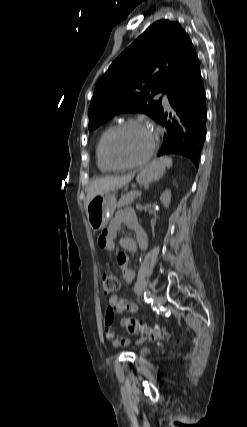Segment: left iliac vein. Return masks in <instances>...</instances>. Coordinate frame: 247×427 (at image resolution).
Listing matches in <instances>:
<instances>
[{"label": "left iliac vein", "instance_id": "4c4485c4", "mask_svg": "<svg viewBox=\"0 0 247 427\" xmlns=\"http://www.w3.org/2000/svg\"><path fill=\"white\" fill-rule=\"evenodd\" d=\"M155 302L158 305H162L164 303V298L161 295H157V296H155Z\"/></svg>", "mask_w": 247, "mask_h": 427}]
</instances>
